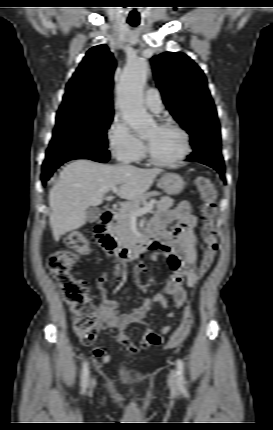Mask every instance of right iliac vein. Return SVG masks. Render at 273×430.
Masks as SVG:
<instances>
[{
	"label": "right iliac vein",
	"instance_id": "right-iliac-vein-1",
	"mask_svg": "<svg viewBox=\"0 0 273 430\" xmlns=\"http://www.w3.org/2000/svg\"><path fill=\"white\" fill-rule=\"evenodd\" d=\"M91 384L94 385V380L91 381Z\"/></svg>",
	"mask_w": 273,
	"mask_h": 430
}]
</instances>
